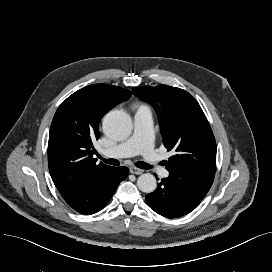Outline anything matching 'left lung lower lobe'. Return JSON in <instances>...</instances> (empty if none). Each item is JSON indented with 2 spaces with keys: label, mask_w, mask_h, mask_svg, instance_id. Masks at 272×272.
<instances>
[{
  "label": "left lung lower lobe",
  "mask_w": 272,
  "mask_h": 272,
  "mask_svg": "<svg viewBox=\"0 0 272 272\" xmlns=\"http://www.w3.org/2000/svg\"><path fill=\"white\" fill-rule=\"evenodd\" d=\"M169 177L146 195L151 209L167 218H178L195 209L209 191L214 177L198 173L169 171Z\"/></svg>",
  "instance_id": "0a47b994"
}]
</instances>
